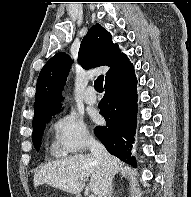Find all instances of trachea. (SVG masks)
<instances>
[{
	"label": "trachea",
	"mask_w": 191,
	"mask_h": 197,
	"mask_svg": "<svg viewBox=\"0 0 191 197\" xmlns=\"http://www.w3.org/2000/svg\"><path fill=\"white\" fill-rule=\"evenodd\" d=\"M103 76L100 75L95 81H94V88L97 92H103Z\"/></svg>",
	"instance_id": "1"
}]
</instances>
